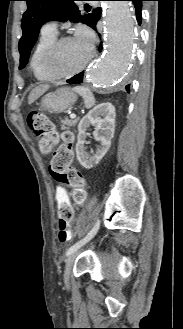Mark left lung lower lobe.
<instances>
[{
  "label": "left lung lower lobe",
  "instance_id": "0a47b994",
  "mask_svg": "<svg viewBox=\"0 0 183 329\" xmlns=\"http://www.w3.org/2000/svg\"><path fill=\"white\" fill-rule=\"evenodd\" d=\"M130 1H132L134 3L135 12H136V19L138 21V24L140 25L141 24V19H142V15H141L142 1H145V0H130ZM99 17L100 16L95 15V22L92 26V28L94 30H96V23H97V20H98ZM101 49H102V45L100 44V51H101ZM83 75H84L83 72H81L79 74H76L72 78L68 79L67 82L70 83V84H80V83H82ZM125 88H126L127 92L130 91V85L129 84Z\"/></svg>",
  "mask_w": 183,
  "mask_h": 329
}]
</instances>
